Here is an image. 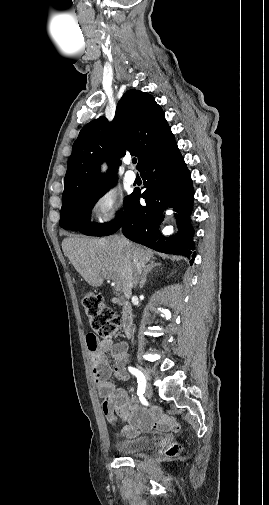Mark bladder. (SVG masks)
I'll use <instances>...</instances> for the list:
<instances>
[{"instance_id":"1","label":"bladder","mask_w":269,"mask_h":505,"mask_svg":"<svg viewBox=\"0 0 269 505\" xmlns=\"http://www.w3.org/2000/svg\"><path fill=\"white\" fill-rule=\"evenodd\" d=\"M153 439L148 436H142L130 440L118 441L115 443L117 451L123 455L139 454L153 445Z\"/></svg>"}]
</instances>
